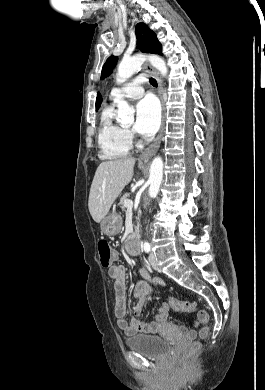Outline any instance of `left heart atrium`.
<instances>
[{"label": "left heart atrium", "mask_w": 265, "mask_h": 390, "mask_svg": "<svg viewBox=\"0 0 265 390\" xmlns=\"http://www.w3.org/2000/svg\"><path fill=\"white\" fill-rule=\"evenodd\" d=\"M160 108L150 97L142 99L136 106L135 130L144 136H151L160 125Z\"/></svg>", "instance_id": "1"}]
</instances>
